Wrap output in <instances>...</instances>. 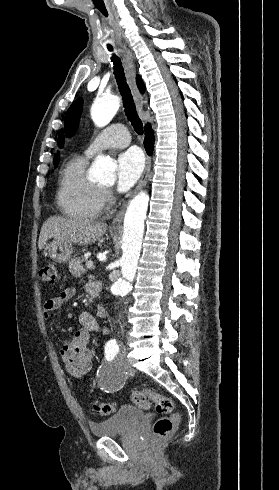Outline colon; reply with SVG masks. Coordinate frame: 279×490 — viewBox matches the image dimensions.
<instances>
[{"label": "colon", "mask_w": 279, "mask_h": 490, "mask_svg": "<svg viewBox=\"0 0 279 490\" xmlns=\"http://www.w3.org/2000/svg\"><path fill=\"white\" fill-rule=\"evenodd\" d=\"M56 270L55 262L46 263L40 270V280L42 282H55L57 279ZM131 399L141 409L147 410L152 403L156 404L157 413L164 416L158 417L154 423L155 442H172L175 422L180 419V413L175 410L172 398L148 389L132 393ZM114 410L115 405L110 401H95L92 403V411L99 416H108Z\"/></svg>", "instance_id": "colon-1"}]
</instances>
